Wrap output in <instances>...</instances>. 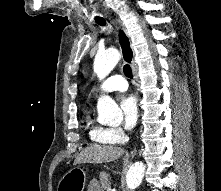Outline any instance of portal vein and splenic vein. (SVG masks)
I'll return each instance as SVG.
<instances>
[{"label": "portal vein and splenic vein", "mask_w": 221, "mask_h": 191, "mask_svg": "<svg viewBox=\"0 0 221 191\" xmlns=\"http://www.w3.org/2000/svg\"><path fill=\"white\" fill-rule=\"evenodd\" d=\"M107 191H112L111 188H109Z\"/></svg>", "instance_id": "1"}]
</instances>
